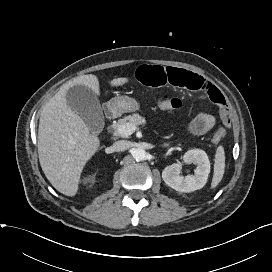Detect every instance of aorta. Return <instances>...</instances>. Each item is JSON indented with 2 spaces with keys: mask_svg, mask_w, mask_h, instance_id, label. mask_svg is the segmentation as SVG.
I'll use <instances>...</instances> for the list:
<instances>
[{
  "mask_svg": "<svg viewBox=\"0 0 272 272\" xmlns=\"http://www.w3.org/2000/svg\"><path fill=\"white\" fill-rule=\"evenodd\" d=\"M146 151L142 148H136L132 151V156L136 161H143L146 159Z\"/></svg>",
  "mask_w": 272,
  "mask_h": 272,
  "instance_id": "obj_1",
  "label": "aorta"
}]
</instances>
